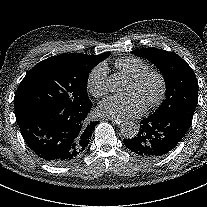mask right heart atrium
I'll use <instances>...</instances> for the list:
<instances>
[{
    "instance_id": "1",
    "label": "right heart atrium",
    "mask_w": 207,
    "mask_h": 207,
    "mask_svg": "<svg viewBox=\"0 0 207 207\" xmlns=\"http://www.w3.org/2000/svg\"><path fill=\"white\" fill-rule=\"evenodd\" d=\"M87 89L96 98H101L108 93V66L105 62L92 68L87 77Z\"/></svg>"
}]
</instances>
